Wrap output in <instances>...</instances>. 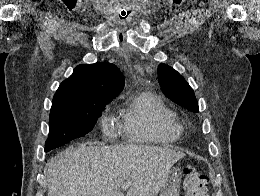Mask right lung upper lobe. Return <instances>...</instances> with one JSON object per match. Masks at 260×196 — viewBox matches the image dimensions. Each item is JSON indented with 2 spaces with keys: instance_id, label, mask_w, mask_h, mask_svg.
Wrapping results in <instances>:
<instances>
[{
  "instance_id": "right-lung-upper-lobe-1",
  "label": "right lung upper lobe",
  "mask_w": 260,
  "mask_h": 196,
  "mask_svg": "<svg viewBox=\"0 0 260 196\" xmlns=\"http://www.w3.org/2000/svg\"><path fill=\"white\" fill-rule=\"evenodd\" d=\"M124 86L120 70L110 63L79 65L59 86L52 106L111 102Z\"/></svg>"
}]
</instances>
